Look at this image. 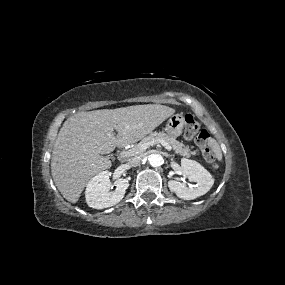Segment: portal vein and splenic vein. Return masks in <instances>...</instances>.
I'll list each match as a JSON object with an SVG mask.
<instances>
[{"mask_svg":"<svg viewBox=\"0 0 285 285\" xmlns=\"http://www.w3.org/2000/svg\"><path fill=\"white\" fill-rule=\"evenodd\" d=\"M157 143H160L162 146H164L168 151H172V147L164 140L162 139H157V140H153L151 142H148V143H145V144H142L140 145V149L145 151L147 148H149L150 146H153L154 144H157ZM133 153V151L129 150V151H126V152H122V156L123 157H127V156H131Z\"/></svg>","mask_w":285,"mask_h":285,"instance_id":"18ae733b","label":"portal vein and splenic vein"}]
</instances>
